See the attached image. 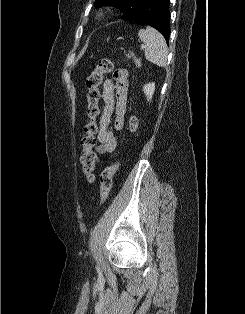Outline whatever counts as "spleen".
I'll use <instances>...</instances> for the list:
<instances>
[{
	"label": "spleen",
	"mask_w": 245,
	"mask_h": 314,
	"mask_svg": "<svg viewBox=\"0 0 245 314\" xmlns=\"http://www.w3.org/2000/svg\"><path fill=\"white\" fill-rule=\"evenodd\" d=\"M138 36L146 46L144 50L145 58L159 67H165L167 65L168 50L161 33L152 27H147L145 30L140 29Z\"/></svg>",
	"instance_id": "1"
}]
</instances>
